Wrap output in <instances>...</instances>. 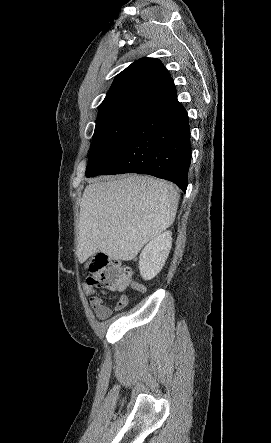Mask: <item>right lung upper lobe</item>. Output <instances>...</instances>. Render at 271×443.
I'll use <instances>...</instances> for the list:
<instances>
[{
    "label": "right lung upper lobe",
    "mask_w": 271,
    "mask_h": 443,
    "mask_svg": "<svg viewBox=\"0 0 271 443\" xmlns=\"http://www.w3.org/2000/svg\"><path fill=\"white\" fill-rule=\"evenodd\" d=\"M175 96L173 80L162 63L154 58H141L115 77L101 105L125 100L154 105Z\"/></svg>",
    "instance_id": "cb5924a9"
}]
</instances>
